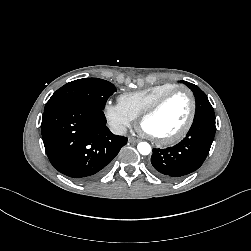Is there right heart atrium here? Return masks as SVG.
<instances>
[{"label": "right heart atrium", "mask_w": 251, "mask_h": 251, "mask_svg": "<svg viewBox=\"0 0 251 251\" xmlns=\"http://www.w3.org/2000/svg\"><path fill=\"white\" fill-rule=\"evenodd\" d=\"M104 115L112 129L118 133L124 132L133 122V118L124 111L119 103H106Z\"/></svg>", "instance_id": "d8ad5b80"}]
</instances>
